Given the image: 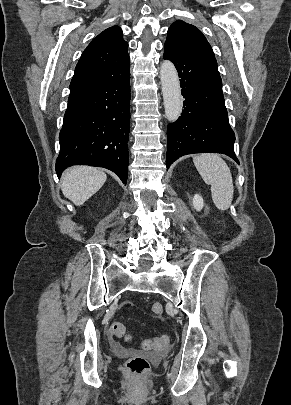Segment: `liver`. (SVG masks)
Masks as SVG:
<instances>
[{"mask_svg":"<svg viewBox=\"0 0 291 405\" xmlns=\"http://www.w3.org/2000/svg\"><path fill=\"white\" fill-rule=\"evenodd\" d=\"M106 174L91 166H75L67 169L61 180L64 196L76 206H81L105 183Z\"/></svg>","mask_w":291,"mask_h":405,"instance_id":"liver-1","label":"liver"}]
</instances>
